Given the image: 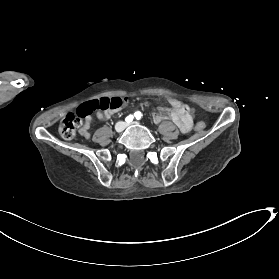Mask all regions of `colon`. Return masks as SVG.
<instances>
[{
    "label": "colon",
    "mask_w": 279,
    "mask_h": 279,
    "mask_svg": "<svg viewBox=\"0 0 279 279\" xmlns=\"http://www.w3.org/2000/svg\"><path fill=\"white\" fill-rule=\"evenodd\" d=\"M126 103V99L122 97L101 98L91 100L81 104L74 113L67 114L60 122L59 132L64 139H73L81 125L82 119L89 117L95 111L119 110ZM183 108L190 114L196 113V107L189 103L181 102ZM206 127L205 122L198 121L195 124L197 131H202Z\"/></svg>",
    "instance_id": "colon-1"
}]
</instances>
